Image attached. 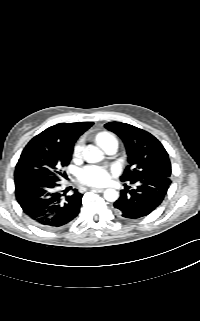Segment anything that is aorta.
Returning <instances> with one entry per match:
<instances>
[{"instance_id": "1", "label": "aorta", "mask_w": 200, "mask_h": 321, "mask_svg": "<svg viewBox=\"0 0 200 321\" xmlns=\"http://www.w3.org/2000/svg\"><path fill=\"white\" fill-rule=\"evenodd\" d=\"M85 158L88 162L95 163L102 161L105 158V154L95 146H88L85 151ZM104 197L107 201H116L118 199V192L114 189H108L105 191Z\"/></svg>"}]
</instances>
